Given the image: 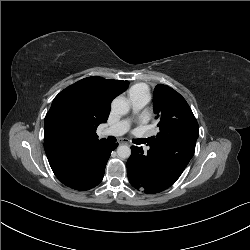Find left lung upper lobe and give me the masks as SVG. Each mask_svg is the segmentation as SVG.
<instances>
[{"label":"left lung upper lobe","mask_w":250,"mask_h":250,"mask_svg":"<svg viewBox=\"0 0 250 250\" xmlns=\"http://www.w3.org/2000/svg\"><path fill=\"white\" fill-rule=\"evenodd\" d=\"M154 112L159 118V133L149 141L161 144L166 141H182L190 138L196 141L199 127L186 100L169 86L159 84L154 90ZM186 143L183 142L180 148Z\"/></svg>","instance_id":"5c2ea615"}]
</instances>
